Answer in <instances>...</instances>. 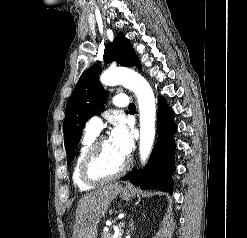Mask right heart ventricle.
<instances>
[{
  "label": "right heart ventricle",
  "instance_id": "right-heart-ventricle-1",
  "mask_svg": "<svg viewBox=\"0 0 247 238\" xmlns=\"http://www.w3.org/2000/svg\"><path fill=\"white\" fill-rule=\"evenodd\" d=\"M98 133L93 132V131H89L86 130L82 141H81V145L80 148L78 150L76 159H75V163L73 166V171H72V180L74 185L82 191H86L89 190L91 188H93L94 184H88L86 183L80 175V166L82 163V160L86 154V152L88 151V149L90 148L91 144L94 142V140L97 138Z\"/></svg>",
  "mask_w": 247,
  "mask_h": 238
}]
</instances>
